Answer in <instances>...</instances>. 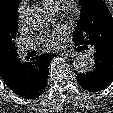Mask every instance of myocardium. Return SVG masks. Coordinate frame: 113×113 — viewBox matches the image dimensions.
Here are the masks:
<instances>
[{
    "mask_svg": "<svg viewBox=\"0 0 113 113\" xmlns=\"http://www.w3.org/2000/svg\"><path fill=\"white\" fill-rule=\"evenodd\" d=\"M64 5L62 6V10L67 16L68 19L73 20L78 12H79V5L76 0H63Z\"/></svg>",
    "mask_w": 113,
    "mask_h": 113,
    "instance_id": "myocardium-1",
    "label": "myocardium"
}]
</instances>
